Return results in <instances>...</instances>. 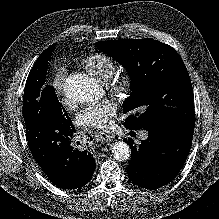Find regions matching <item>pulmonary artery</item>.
Here are the masks:
<instances>
[{
  "label": "pulmonary artery",
  "mask_w": 219,
  "mask_h": 219,
  "mask_svg": "<svg viewBox=\"0 0 219 219\" xmlns=\"http://www.w3.org/2000/svg\"><path fill=\"white\" fill-rule=\"evenodd\" d=\"M141 137H142V138H145V137H146V133H143Z\"/></svg>",
  "instance_id": "obj_1"
}]
</instances>
